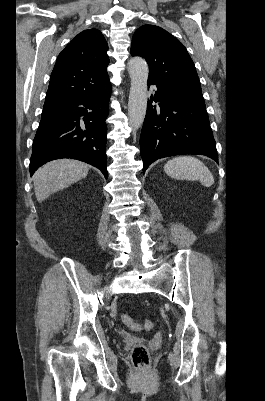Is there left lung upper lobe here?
<instances>
[{
  "label": "left lung upper lobe",
  "instance_id": "obj_1",
  "mask_svg": "<svg viewBox=\"0 0 265 401\" xmlns=\"http://www.w3.org/2000/svg\"><path fill=\"white\" fill-rule=\"evenodd\" d=\"M149 65L148 81L157 86L201 92L192 59L183 44L166 30L144 25L136 30L130 51Z\"/></svg>",
  "mask_w": 265,
  "mask_h": 401
}]
</instances>
